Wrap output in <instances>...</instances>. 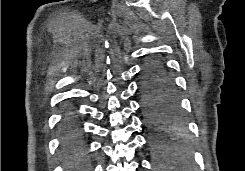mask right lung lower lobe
Instances as JSON below:
<instances>
[{
    "label": "right lung lower lobe",
    "instance_id": "1",
    "mask_svg": "<svg viewBox=\"0 0 245 171\" xmlns=\"http://www.w3.org/2000/svg\"><path fill=\"white\" fill-rule=\"evenodd\" d=\"M60 134L62 140V151L71 155L83 145V132L76 110L70 105H66L63 118L60 124Z\"/></svg>",
    "mask_w": 245,
    "mask_h": 171
}]
</instances>
